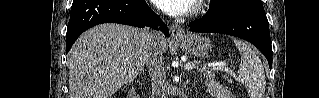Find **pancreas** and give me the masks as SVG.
Returning a JSON list of instances; mask_svg holds the SVG:
<instances>
[{"label":"pancreas","instance_id":"obj_1","mask_svg":"<svg viewBox=\"0 0 319 98\" xmlns=\"http://www.w3.org/2000/svg\"><path fill=\"white\" fill-rule=\"evenodd\" d=\"M197 70L200 74H203V76L205 78L214 79L215 78V71H217L218 69L215 67H207V66L203 65V66L199 67Z\"/></svg>","mask_w":319,"mask_h":98}]
</instances>
